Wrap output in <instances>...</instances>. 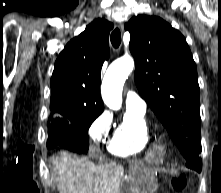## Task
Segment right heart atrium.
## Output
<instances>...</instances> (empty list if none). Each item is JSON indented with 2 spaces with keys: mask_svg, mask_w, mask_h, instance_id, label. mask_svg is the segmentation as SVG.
I'll use <instances>...</instances> for the list:
<instances>
[{
  "mask_svg": "<svg viewBox=\"0 0 221 193\" xmlns=\"http://www.w3.org/2000/svg\"><path fill=\"white\" fill-rule=\"evenodd\" d=\"M112 126V117L108 111L101 112L92 122L89 135L94 143L104 142L109 136Z\"/></svg>",
  "mask_w": 221,
  "mask_h": 193,
  "instance_id": "d8ad5b80",
  "label": "right heart atrium"
}]
</instances>
